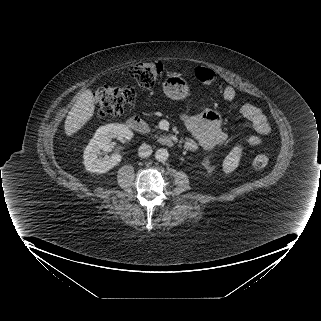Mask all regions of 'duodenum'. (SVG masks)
Listing matches in <instances>:
<instances>
[{
    "label": "duodenum",
    "mask_w": 321,
    "mask_h": 321,
    "mask_svg": "<svg viewBox=\"0 0 321 321\" xmlns=\"http://www.w3.org/2000/svg\"><path fill=\"white\" fill-rule=\"evenodd\" d=\"M127 126L134 130L137 133L142 135H147L150 132V128L147 123L139 116H132L127 120ZM158 142L166 147H172L174 145V141L168 135H161L158 137Z\"/></svg>",
    "instance_id": "obj_1"
}]
</instances>
